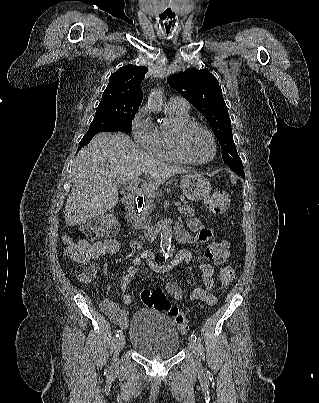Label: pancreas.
I'll list each match as a JSON object with an SVG mask.
<instances>
[{
    "mask_svg": "<svg viewBox=\"0 0 319 403\" xmlns=\"http://www.w3.org/2000/svg\"><path fill=\"white\" fill-rule=\"evenodd\" d=\"M155 205H151L148 201L142 206L139 214L134 216L132 226L135 229L147 230L150 227L151 223V212L154 209ZM178 211L182 216L193 217L195 216V211L184 202L182 205L178 207Z\"/></svg>",
    "mask_w": 319,
    "mask_h": 403,
    "instance_id": "pancreas-1",
    "label": "pancreas"
}]
</instances>
